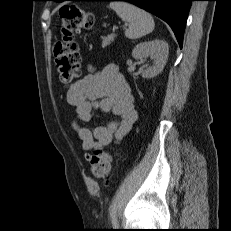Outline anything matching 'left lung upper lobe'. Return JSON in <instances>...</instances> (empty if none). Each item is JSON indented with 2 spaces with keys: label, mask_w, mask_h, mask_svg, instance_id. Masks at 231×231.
<instances>
[{
  "label": "left lung upper lobe",
  "mask_w": 231,
  "mask_h": 231,
  "mask_svg": "<svg viewBox=\"0 0 231 231\" xmlns=\"http://www.w3.org/2000/svg\"><path fill=\"white\" fill-rule=\"evenodd\" d=\"M53 1L61 2L62 0H53Z\"/></svg>",
  "instance_id": "left-lung-upper-lobe-1"
}]
</instances>
